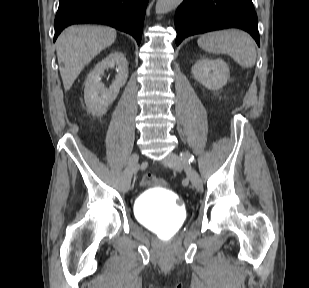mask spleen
<instances>
[{
  "mask_svg": "<svg viewBox=\"0 0 309 288\" xmlns=\"http://www.w3.org/2000/svg\"><path fill=\"white\" fill-rule=\"evenodd\" d=\"M197 43L206 52L230 55L243 68H251L256 63L255 44L246 33L240 30L208 32L201 35Z\"/></svg>",
  "mask_w": 309,
  "mask_h": 288,
  "instance_id": "spleen-1",
  "label": "spleen"
}]
</instances>
